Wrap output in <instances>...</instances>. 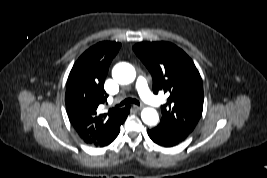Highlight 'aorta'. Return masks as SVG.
<instances>
[{
    "mask_svg": "<svg viewBox=\"0 0 267 178\" xmlns=\"http://www.w3.org/2000/svg\"><path fill=\"white\" fill-rule=\"evenodd\" d=\"M112 77L119 84H130L135 80L136 71L131 64L121 62L114 66L112 70ZM141 119L145 124L154 126L158 123L159 116L155 109L144 108L141 112Z\"/></svg>",
    "mask_w": 267,
    "mask_h": 178,
    "instance_id": "aorta-1",
    "label": "aorta"
}]
</instances>
